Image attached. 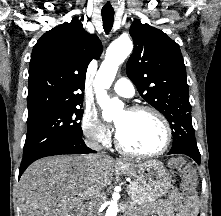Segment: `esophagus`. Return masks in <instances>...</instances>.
Instances as JSON below:
<instances>
[{"label": "esophagus", "mask_w": 221, "mask_h": 216, "mask_svg": "<svg viewBox=\"0 0 221 216\" xmlns=\"http://www.w3.org/2000/svg\"><path fill=\"white\" fill-rule=\"evenodd\" d=\"M116 163H117L118 165H122V164H124V161L121 160V159H118V160L116 161Z\"/></svg>", "instance_id": "obj_1"}]
</instances>
